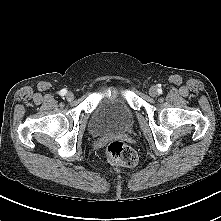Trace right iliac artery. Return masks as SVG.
<instances>
[{
  "instance_id": "82829eb1",
  "label": "right iliac artery",
  "mask_w": 221,
  "mask_h": 221,
  "mask_svg": "<svg viewBox=\"0 0 221 221\" xmlns=\"http://www.w3.org/2000/svg\"><path fill=\"white\" fill-rule=\"evenodd\" d=\"M66 90L65 89H63V90H61L60 92H59V94L61 95V96H64L65 94H66Z\"/></svg>"
}]
</instances>
